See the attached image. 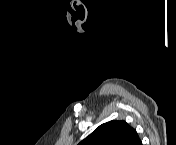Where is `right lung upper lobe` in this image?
Here are the masks:
<instances>
[{
  "instance_id": "right-lung-upper-lobe-1",
  "label": "right lung upper lobe",
  "mask_w": 176,
  "mask_h": 145,
  "mask_svg": "<svg viewBox=\"0 0 176 145\" xmlns=\"http://www.w3.org/2000/svg\"><path fill=\"white\" fill-rule=\"evenodd\" d=\"M79 145H142L135 129L125 121H109L100 125Z\"/></svg>"
}]
</instances>
